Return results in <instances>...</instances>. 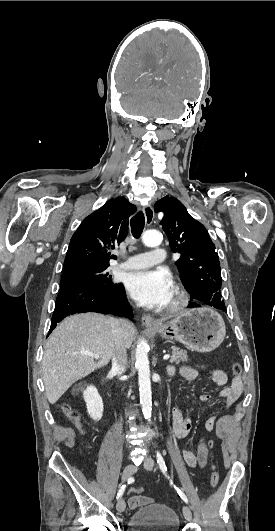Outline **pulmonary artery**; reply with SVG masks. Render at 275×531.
I'll list each match as a JSON object with an SVG mask.
<instances>
[{
	"instance_id": "pulmonary-artery-1",
	"label": "pulmonary artery",
	"mask_w": 275,
	"mask_h": 531,
	"mask_svg": "<svg viewBox=\"0 0 275 531\" xmlns=\"http://www.w3.org/2000/svg\"><path fill=\"white\" fill-rule=\"evenodd\" d=\"M151 252L150 259L148 258L150 252L136 254L131 256L127 261L120 263L119 268L122 270H134L139 269L143 265H161L166 256L165 251L160 246L155 245L152 247Z\"/></svg>"
}]
</instances>
